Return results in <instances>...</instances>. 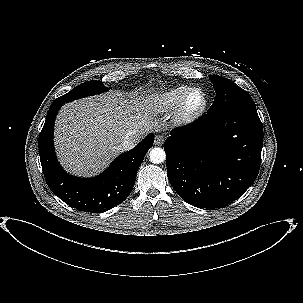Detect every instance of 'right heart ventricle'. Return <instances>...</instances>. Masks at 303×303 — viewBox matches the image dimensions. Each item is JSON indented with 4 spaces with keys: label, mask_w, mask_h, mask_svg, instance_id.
I'll return each instance as SVG.
<instances>
[{
    "label": "right heart ventricle",
    "mask_w": 303,
    "mask_h": 303,
    "mask_svg": "<svg viewBox=\"0 0 303 303\" xmlns=\"http://www.w3.org/2000/svg\"><path fill=\"white\" fill-rule=\"evenodd\" d=\"M187 85H178L160 92H156L147 97L145 106L152 114H161L175 109L187 91Z\"/></svg>",
    "instance_id": "1"
}]
</instances>
